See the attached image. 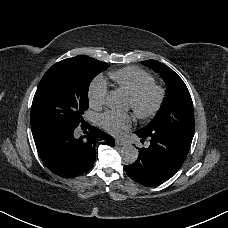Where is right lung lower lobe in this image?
Returning a JSON list of instances; mask_svg holds the SVG:
<instances>
[{"label":"right lung lower lobe","instance_id":"1","mask_svg":"<svg viewBox=\"0 0 228 228\" xmlns=\"http://www.w3.org/2000/svg\"><path fill=\"white\" fill-rule=\"evenodd\" d=\"M77 127L57 124L31 127L41 160L50 171L64 178L90 170L100 144L115 145L112 136L88 123L81 125L86 134L78 138Z\"/></svg>","mask_w":228,"mask_h":228}]
</instances>
